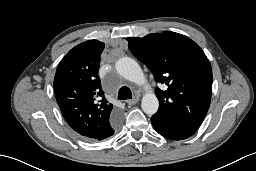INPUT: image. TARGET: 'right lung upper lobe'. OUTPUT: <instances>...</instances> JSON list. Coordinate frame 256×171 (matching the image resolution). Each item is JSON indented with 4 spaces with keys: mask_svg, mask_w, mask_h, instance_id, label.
Masks as SVG:
<instances>
[{
    "mask_svg": "<svg viewBox=\"0 0 256 171\" xmlns=\"http://www.w3.org/2000/svg\"><path fill=\"white\" fill-rule=\"evenodd\" d=\"M104 43L89 40L72 48L60 61L54 77V92L69 126L91 141L113 135L112 118L117 115L101 88L98 76Z\"/></svg>",
    "mask_w": 256,
    "mask_h": 171,
    "instance_id": "obj_1",
    "label": "right lung upper lobe"
}]
</instances>
